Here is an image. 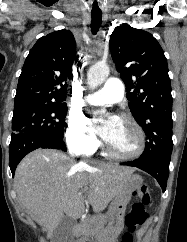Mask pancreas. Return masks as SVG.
Returning <instances> with one entry per match:
<instances>
[{
	"label": "pancreas",
	"instance_id": "pancreas-1",
	"mask_svg": "<svg viewBox=\"0 0 187 242\" xmlns=\"http://www.w3.org/2000/svg\"><path fill=\"white\" fill-rule=\"evenodd\" d=\"M107 223L103 215L88 217L81 223L82 237L77 242L90 241V236L96 231L97 228L103 227Z\"/></svg>",
	"mask_w": 187,
	"mask_h": 242
}]
</instances>
